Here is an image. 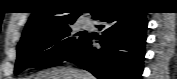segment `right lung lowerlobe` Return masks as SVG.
Here are the masks:
<instances>
[{
	"mask_svg": "<svg viewBox=\"0 0 177 79\" xmlns=\"http://www.w3.org/2000/svg\"><path fill=\"white\" fill-rule=\"evenodd\" d=\"M140 10H123L119 5L97 12L102 36L86 34L65 58L90 71L98 79H141L145 55L147 20ZM100 46L96 47L95 44Z\"/></svg>",
	"mask_w": 177,
	"mask_h": 79,
	"instance_id": "obj_1",
	"label": "right lung lower lobe"
}]
</instances>
